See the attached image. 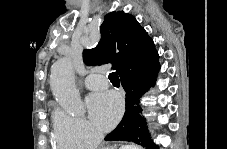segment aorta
I'll use <instances>...</instances> for the list:
<instances>
[{
	"label": "aorta",
	"mask_w": 227,
	"mask_h": 149,
	"mask_svg": "<svg viewBox=\"0 0 227 149\" xmlns=\"http://www.w3.org/2000/svg\"><path fill=\"white\" fill-rule=\"evenodd\" d=\"M51 89L56 101L69 114L81 115L84 112L80 93L75 86L72 63L68 58L52 66Z\"/></svg>",
	"instance_id": "762f6f07"
}]
</instances>
